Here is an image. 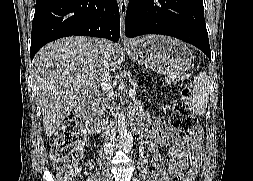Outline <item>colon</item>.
<instances>
[{"mask_svg":"<svg viewBox=\"0 0 253 181\" xmlns=\"http://www.w3.org/2000/svg\"><path fill=\"white\" fill-rule=\"evenodd\" d=\"M191 90L184 88L174 101L170 117L171 125L182 139L190 137L197 125V119L191 112ZM86 134L76 119L68 120L58 131L51 148V157L63 181H70L77 173ZM186 165L183 164L171 181H183Z\"/></svg>","mask_w":253,"mask_h":181,"instance_id":"1","label":"colon"}]
</instances>
